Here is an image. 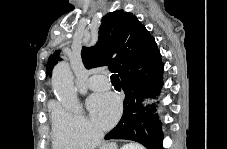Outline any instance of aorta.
I'll use <instances>...</instances> for the list:
<instances>
[{
  "instance_id": "obj_1",
  "label": "aorta",
  "mask_w": 227,
  "mask_h": 149,
  "mask_svg": "<svg viewBox=\"0 0 227 149\" xmlns=\"http://www.w3.org/2000/svg\"><path fill=\"white\" fill-rule=\"evenodd\" d=\"M52 87L63 106L74 113L80 112L81 105L73 83V75L67 63L58 64L52 75Z\"/></svg>"
}]
</instances>
